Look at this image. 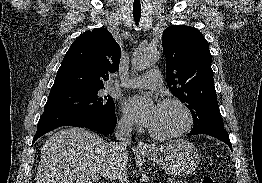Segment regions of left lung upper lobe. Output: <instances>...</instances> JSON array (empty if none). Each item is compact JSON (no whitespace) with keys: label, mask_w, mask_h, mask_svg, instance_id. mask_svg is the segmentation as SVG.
Instances as JSON below:
<instances>
[{"label":"left lung upper lobe","mask_w":262,"mask_h":183,"mask_svg":"<svg viewBox=\"0 0 262 183\" xmlns=\"http://www.w3.org/2000/svg\"><path fill=\"white\" fill-rule=\"evenodd\" d=\"M170 91L193 116L191 131L224 128L214 87L212 56L202 33L190 26H169L162 36Z\"/></svg>","instance_id":"1"}]
</instances>
